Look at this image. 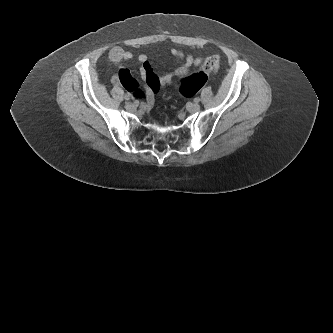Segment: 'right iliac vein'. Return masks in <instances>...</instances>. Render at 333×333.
<instances>
[{"label":"right iliac vein","mask_w":333,"mask_h":333,"mask_svg":"<svg viewBox=\"0 0 333 333\" xmlns=\"http://www.w3.org/2000/svg\"><path fill=\"white\" fill-rule=\"evenodd\" d=\"M125 107L128 111H135V109H136V106L134 104H132L131 102H127Z\"/></svg>","instance_id":"right-iliac-vein-1"}]
</instances>
